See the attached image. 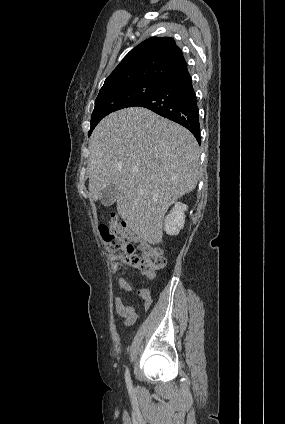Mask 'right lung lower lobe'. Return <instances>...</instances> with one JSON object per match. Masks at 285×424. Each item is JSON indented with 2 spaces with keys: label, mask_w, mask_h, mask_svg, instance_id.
<instances>
[{
  "label": "right lung lower lobe",
  "mask_w": 285,
  "mask_h": 424,
  "mask_svg": "<svg viewBox=\"0 0 285 424\" xmlns=\"http://www.w3.org/2000/svg\"><path fill=\"white\" fill-rule=\"evenodd\" d=\"M144 107L187 128L200 143L199 111L188 71L168 80L130 107Z\"/></svg>",
  "instance_id": "obj_1"
}]
</instances>
